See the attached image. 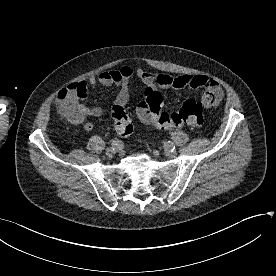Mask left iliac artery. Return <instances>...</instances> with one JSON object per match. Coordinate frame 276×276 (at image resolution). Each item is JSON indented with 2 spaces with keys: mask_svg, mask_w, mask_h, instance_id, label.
Masks as SVG:
<instances>
[{
  "mask_svg": "<svg viewBox=\"0 0 276 276\" xmlns=\"http://www.w3.org/2000/svg\"><path fill=\"white\" fill-rule=\"evenodd\" d=\"M164 146L166 149H175V145L172 141H167Z\"/></svg>",
  "mask_w": 276,
  "mask_h": 276,
  "instance_id": "1",
  "label": "left iliac artery"
}]
</instances>
